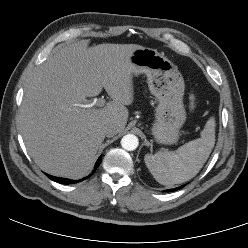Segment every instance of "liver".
Wrapping results in <instances>:
<instances>
[{"label":"liver","instance_id":"6515ba94","mask_svg":"<svg viewBox=\"0 0 248 248\" xmlns=\"http://www.w3.org/2000/svg\"><path fill=\"white\" fill-rule=\"evenodd\" d=\"M136 44H99L86 41L56 49L34 71L26 85L20 112V130L27 151L37 166L54 176L79 179L92 168L103 127L118 132L128 120L126 105L133 102V67ZM105 89L112 101L102 109H83Z\"/></svg>","mask_w":248,"mask_h":248}]
</instances>
